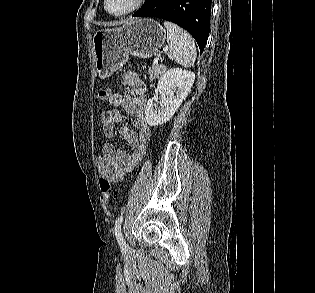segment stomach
<instances>
[{"label": "stomach", "mask_w": 315, "mask_h": 293, "mask_svg": "<svg viewBox=\"0 0 315 293\" xmlns=\"http://www.w3.org/2000/svg\"><path fill=\"white\" fill-rule=\"evenodd\" d=\"M165 39V29L151 19L96 31L92 38L96 74L101 79L111 76L126 64L130 55L143 59L157 55Z\"/></svg>", "instance_id": "stomach-1"}]
</instances>
